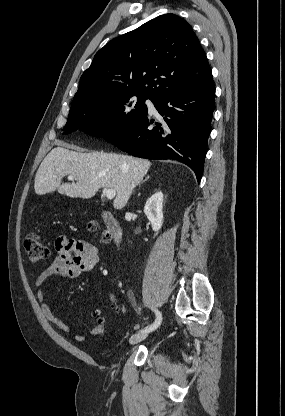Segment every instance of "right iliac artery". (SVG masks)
<instances>
[{
	"label": "right iliac artery",
	"instance_id": "obj_1",
	"mask_svg": "<svg viewBox=\"0 0 285 416\" xmlns=\"http://www.w3.org/2000/svg\"><path fill=\"white\" fill-rule=\"evenodd\" d=\"M155 314H156V320L153 324H151L150 326H147L145 331H153L155 330L162 322V315L161 313L157 310V309H153Z\"/></svg>",
	"mask_w": 285,
	"mask_h": 416
}]
</instances>
